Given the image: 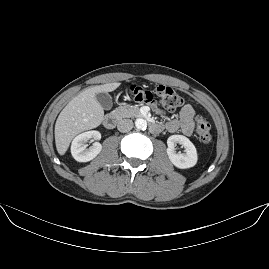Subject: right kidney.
Segmentation results:
<instances>
[{
  "mask_svg": "<svg viewBox=\"0 0 269 269\" xmlns=\"http://www.w3.org/2000/svg\"><path fill=\"white\" fill-rule=\"evenodd\" d=\"M101 133L97 130L86 131L76 136L71 144V154L73 158L79 162H86L93 159L101 150ZM94 139L95 142L86 149L85 144L90 139Z\"/></svg>",
  "mask_w": 269,
  "mask_h": 269,
  "instance_id": "obj_1",
  "label": "right kidney"
}]
</instances>
